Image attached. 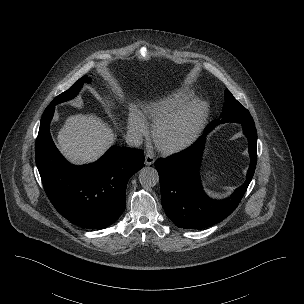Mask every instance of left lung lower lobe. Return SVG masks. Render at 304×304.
Wrapping results in <instances>:
<instances>
[{
	"mask_svg": "<svg viewBox=\"0 0 304 304\" xmlns=\"http://www.w3.org/2000/svg\"><path fill=\"white\" fill-rule=\"evenodd\" d=\"M241 124L249 143L250 167L245 183L225 200L216 201L207 197L199 178L205 135L216 125L209 124L204 135L186 150L156 161L162 206L177 227L202 229L212 226L229 216L238 206L252 180L257 161L255 124Z\"/></svg>",
	"mask_w": 304,
	"mask_h": 304,
	"instance_id": "0a47b994",
	"label": "left lung lower lobe"
}]
</instances>
